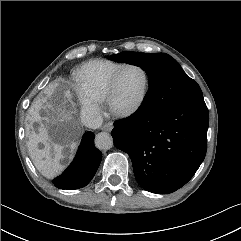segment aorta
Segmentation results:
<instances>
[{"instance_id": "aorta-1", "label": "aorta", "mask_w": 241, "mask_h": 241, "mask_svg": "<svg viewBox=\"0 0 241 241\" xmlns=\"http://www.w3.org/2000/svg\"><path fill=\"white\" fill-rule=\"evenodd\" d=\"M95 145L98 149L108 150L113 146V138L107 132H101L96 135Z\"/></svg>"}]
</instances>
